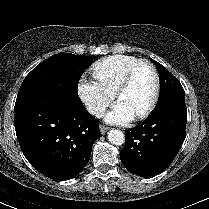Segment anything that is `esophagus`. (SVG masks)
Instances as JSON below:
<instances>
[{"instance_id":"34e87169","label":"esophagus","mask_w":209,"mask_h":209,"mask_svg":"<svg viewBox=\"0 0 209 209\" xmlns=\"http://www.w3.org/2000/svg\"><path fill=\"white\" fill-rule=\"evenodd\" d=\"M107 131H108V127H106L104 125H101L100 126V132H101V134L104 135Z\"/></svg>"}]
</instances>
